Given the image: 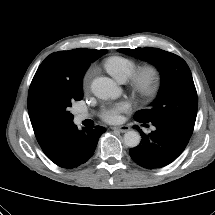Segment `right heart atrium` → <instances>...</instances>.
Wrapping results in <instances>:
<instances>
[{"label":"right heart atrium","mask_w":215,"mask_h":215,"mask_svg":"<svg viewBox=\"0 0 215 215\" xmlns=\"http://www.w3.org/2000/svg\"><path fill=\"white\" fill-rule=\"evenodd\" d=\"M89 82H90V75L87 74V75L85 76V78H84V81H83V85H84L85 88L88 87Z\"/></svg>","instance_id":"obj_1"}]
</instances>
